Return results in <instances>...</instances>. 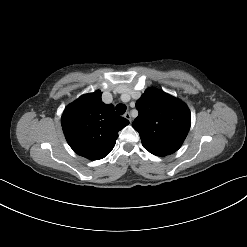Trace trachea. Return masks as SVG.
I'll list each match as a JSON object with an SVG mask.
<instances>
[{"label": "trachea", "mask_w": 247, "mask_h": 247, "mask_svg": "<svg viewBox=\"0 0 247 247\" xmlns=\"http://www.w3.org/2000/svg\"><path fill=\"white\" fill-rule=\"evenodd\" d=\"M126 105L125 104H122V103H119L116 105V112L119 114V115H123L125 112H126Z\"/></svg>", "instance_id": "3493384b"}]
</instances>
